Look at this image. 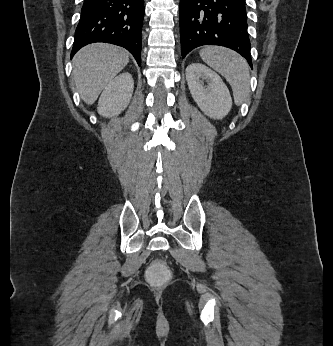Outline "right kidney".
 Here are the masks:
<instances>
[{"instance_id":"ca27d5eb","label":"right kidney","mask_w":333,"mask_h":346,"mask_svg":"<svg viewBox=\"0 0 333 346\" xmlns=\"http://www.w3.org/2000/svg\"><path fill=\"white\" fill-rule=\"evenodd\" d=\"M134 89L132 75L128 72L115 77L102 92L98 102V113L104 117L120 114L129 104Z\"/></svg>"}]
</instances>
